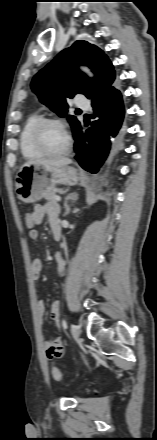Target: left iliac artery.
Segmentation results:
<instances>
[{
  "label": "left iliac artery",
  "mask_w": 157,
  "mask_h": 440,
  "mask_svg": "<svg viewBox=\"0 0 157 440\" xmlns=\"http://www.w3.org/2000/svg\"><path fill=\"white\" fill-rule=\"evenodd\" d=\"M62 325L65 329L67 328V321L65 319L63 320Z\"/></svg>",
  "instance_id": "44dca946"
}]
</instances>
